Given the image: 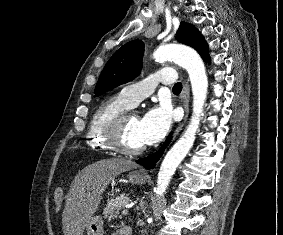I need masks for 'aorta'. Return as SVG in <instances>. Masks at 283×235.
<instances>
[{"instance_id": "1", "label": "aorta", "mask_w": 283, "mask_h": 235, "mask_svg": "<svg viewBox=\"0 0 283 235\" xmlns=\"http://www.w3.org/2000/svg\"><path fill=\"white\" fill-rule=\"evenodd\" d=\"M153 57L156 61L174 60L189 74L192 94L193 112L190 123L183 135L166 154L157 177V186L154 191L158 197L162 196L181 161L185 158L196 138L203 107L207 97L208 79L204 63L199 54L189 47L168 44L158 47Z\"/></svg>"}]
</instances>
